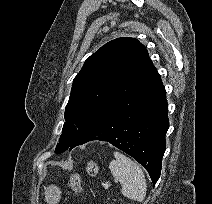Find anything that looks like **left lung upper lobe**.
<instances>
[{"instance_id":"5c2ea615","label":"left lung upper lobe","mask_w":212,"mask_h":204,"mask_svg":"<svg viewBox=\"0 0 212 204\" xmlns=\"http://www.w3.org/2000/svg\"><path fill=\"white\" fill-rule=\"evenodd\" d=\"M156 72L136 39L118 38L87 58L73 80L55 153L73 149L78 137Z\"/></svg>"}]
</instances>
